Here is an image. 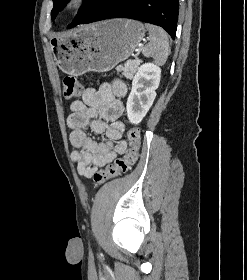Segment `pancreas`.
Here are the masks:
<instances>
[{
  "label": "pancreas",
  "instance_id": "pancreas-1",
  "mask_svg": "<svg viewBox=\"0 0 247 280\" xmlns=\"http://www.w3.org/2000/svg\"><path fill=\"white\" fill-rule=\"evenodd\" d=\"M140 65V60L135 59V60H130L127 61L124 66L120 65L116 68L118 72H123L122 74L127 78V79H132L134 74L136 73L138 66Z\"/></svg>",
  "mask_w": 247,
  "mask_h": 280
}]
</instances>
